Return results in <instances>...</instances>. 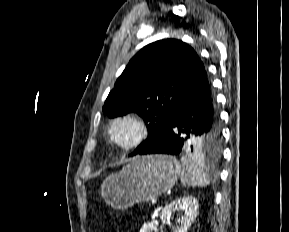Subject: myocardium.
I'll list each match as a JSON object with an SVG mask.
<instances>
[{
  "mask_svg": "<svg viewBox=\"0 0 289 232\" xmlns=\"http://www.w3.org/2000/svg\"><path fill=\"white\" fill-rule=\"evenodd\" d=\"M128 122L131 123L135 127V135L134 137L127 143H121L114 137V129L115 127L120 124ZM150 133V126L148 121L142 117L141 115L134 113V112H128L123 113L118 116H116L110 123L109 129H108V136L110 141L117 146L118 148L128 150L132 148H136L139 145H141L149 136Z\"/></svg>",
  "mask_w": 289,
  "mask_h": 232,
  "instance_id": "1",
  "label": "myocardium"
}]
</instances>
